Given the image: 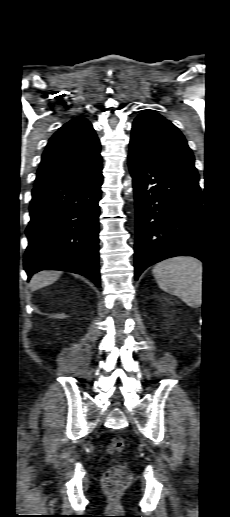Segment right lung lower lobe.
Wrapping results in <instances>:
<instances>
[{
	"mask_svg": "<svg viewBox=\"0 0 230 517\" xmlns=\"http://www.w3.org/2000/svg\"><path fill=\"white\" fill-rule=\"evenodd\" d=\"M102 165L61 183L34 188L24 268L34 273L63 270L81 274L100 287L99 206Z\"/></svg>",
	"mask_w": 230,
	"mask_h": 517,
	"instance_id": "right-lung-lower-lobe-1",
	"label": "right lung lower lobe"
}]
</instances>
